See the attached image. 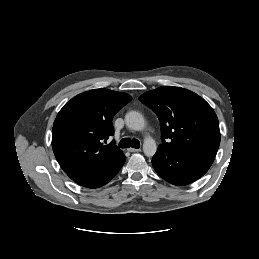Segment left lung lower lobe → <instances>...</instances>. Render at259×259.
<instances>
[{"mask_svg":"<svg viewBox=\"0 0 259 259\" xmlns=\"http://www.w3.org/2000/svg\"><path fill=\"white\" fill-rule=\"evenodd\" d=\"M214 157L181 155L159 146L152 158L157 174L174 185H187L202 177L210 168Z\"/></svg>","mask_w":259,"mask_h":259,"instance_id":"1","label":"left lung lower lobe"}]
</instances>
